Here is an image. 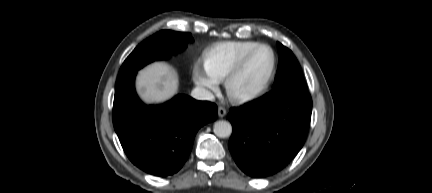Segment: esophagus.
I'll use <instances>...</instances> for the list:
<instances>
[{"mask_svg":"<svg viewBox=\"0 0 432 193\" xmlns=\"http://www.w3.org/2000/svg\"><path fill=\"white\" fill-rule=\"evenodd\" d=\"M226 114H227L226 109L224 107H222V106H219L218 107V116L220 118H223Z\"/></svg>","mask_w":432,"mask_h":193,"instance_id":"esophagus-1","label":"esophagus"}]
</instances>
